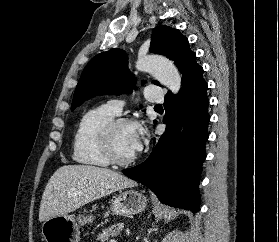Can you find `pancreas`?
<instances>
[{"label":"pancreas","mask_w":279,"mask_h":242,"mask_svg":"<svg viewBox=\"0 0 279 242\" xmlns=\"http://www.w3.org/2000/svg\"><path fill=\"white\" fill-rule=\"evenodd\" d=\"M123 224H114L110 227L105 228L102 233L98 234V240L105 242L110 239V237H116L122 231Z\"/></svg>","instance_id":"1"}]
</instances>
